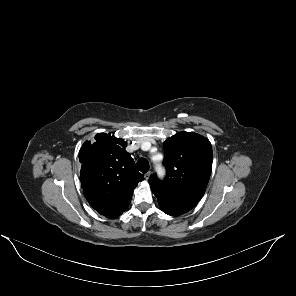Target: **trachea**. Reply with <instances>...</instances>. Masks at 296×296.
<instances>
[{
    "mask_svg": "<svg viewBox=\"0 0 296 296\" xmlns=\"http://www.w3.org/2000/svg\"><path fill=\"white\" fill-rule=\"evenodd\" d=\"M136 165L137 168L143 173H146L149 170V162L144 158L139 159Z\"/></svg>",
    "mask_w": 296,
    "mask_h": 296,
    "instance_id": "trachea-1",
    "label": "trachea"
}]
</instances>
